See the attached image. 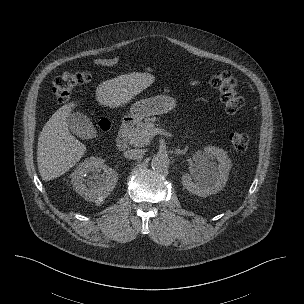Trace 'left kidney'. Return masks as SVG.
<instances>
[{
  "mask_svg": "<svg viewBox=\"0 0 304 304\" xmlns=\"http://www.w3.org/2000/svg\"><path fill=\"white\" fill-rule=\"evenodd\" d=\"M212 158L217 159L218 165L210 161ZM193 161L192 173L182 175V184L190 193L207 197L224 188L231 169V160L226 151L206 146L203 152H197L193 156Z\"/></svg>",
  "mask_w": 304,
  "mask_h": 304,
  "instance_id": "obj_1",
  "label": "left kidney"
}]
</instances>
